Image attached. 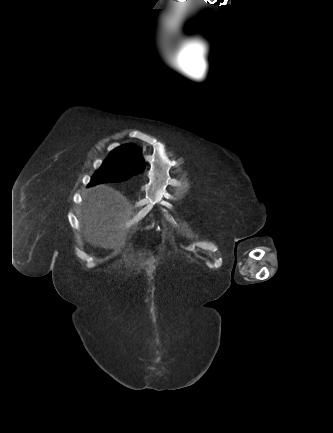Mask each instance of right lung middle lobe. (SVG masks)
<instances>
[{
  "mask_svg": "<svg viewBox=\"0 0 333 433\" xmlns=\"http://www.w3.org/2000/svg\"><path fill=\"white\" fill-rule=\"evenodd\" d=\"M144 169L141 165L130 159H117L108 157L101 168L93 175L90 185L104 182H121L127 180L134 174H138Z\"/></svg>",
  "mask_w": 333,
  "mask_h": 433,
  "instance_id": "right-lung-middle-lobe-1",
  "label": "right lung middle lobe"
}]
</instances>
